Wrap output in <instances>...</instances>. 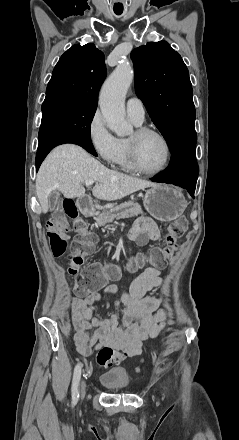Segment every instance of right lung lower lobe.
<instances>
[{"mask_svg": "<svg viewBox=\"0 0 239 440\" xmlns=\"http://www.w3.org/2000/svg\"><path fill=\"white\" fill-rule=\"evenodd\" d=\"M64 143H74L82 146L89 153L97 156V153L92 145L90 137L76 132H65L47 136L39 141L38 150L36 154V170L39 169L42 161L47 154L57 145Z\"/></svg>", "mask_w": 239, "mask_h": 440, "instance_id": "98d812e1", "label": "right lung lower lobe"}]
</instances>
